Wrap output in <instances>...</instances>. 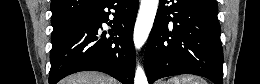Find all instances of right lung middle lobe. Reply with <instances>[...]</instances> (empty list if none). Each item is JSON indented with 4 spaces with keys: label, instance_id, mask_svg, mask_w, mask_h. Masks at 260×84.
<instances>
[{
    "label": "right lung middle lobe",
    "instance_id": "obj_1",
    "mask_svg": "<svg viewBox=\"0 0 260 84\" xmlns=\"http://www.w3.org/2000/svg\"><path fill=\"white\" fill-rule=\"evenodd\" d=\"M66 26H67V25L54 28V29H53V32H52V37H51L52 40L55 39L60 33H62L63 30L66 28Z\"/></svg>",
    "mask_w": 260,
    "mask_h": 84
}]
</instances>
